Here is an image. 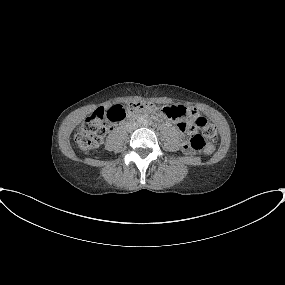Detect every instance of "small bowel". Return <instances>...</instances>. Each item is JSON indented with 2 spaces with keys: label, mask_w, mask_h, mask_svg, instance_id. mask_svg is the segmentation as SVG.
<instances>
[{
  "label": "small bowel",
  "mask_w": 285,
  "mask_h": 285,
  "mask_svg": "<svg viewBox=\"0 0 285 285\" xmlns=\"http://www.w3.org/2000/svg\"><path fill=\"white\" fill-rule=\"evenodd\" d=\"M187 121L194 123L196 120H198L200 118V115L198 113V111L192 107L187 109Z\"/></svg>",
  "instance_id": "obj_1"
}]
</instances>
